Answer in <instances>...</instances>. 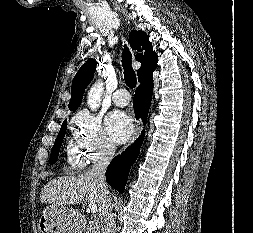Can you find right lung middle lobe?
<instances>
[{
    "instance_id": "dd1d6c3e",
    "label": "right lung middle lobe",
    "mask_w": 253,
    "mask_h": 233,
    "mask_svg": "<svg viewBox=\"0 0 253 233\" xmlns=\"http://www.w3.org/2000/svg\"><path fill=\"white\" fill-rule=\"evenodd\" d=\"M66 128H67V121L65 120L61 126L60 132L57 136V139L55 141V144L53 146L51 155H50V159H49V163L53 164L57 161L58 158V154H59V150H60V146L63 142V138L65 136L66 133Z\"/></svg>"
}]
</instances>
